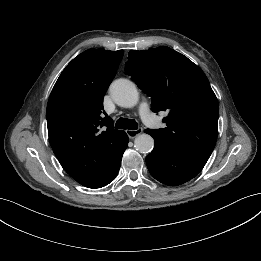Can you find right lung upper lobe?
Listing matches in <instances>:
<instances>
[{
	"mask_svg": "<svg viewBox=\"0 0 261 261\" xmlns=\"http://www.w3.org/2000/svg\"><path fill=\"white\" fill-rule=\"evenodd\" d=\"M123 53L89 49L79 54L62 71L48 101L50 145L65 171L84 186L111 167L127 138L103 111Z\"/></svg>",
	"mask_w": 261,
	"mask_h": 261,
	"instance_id": "1",
	"label": "right lung upper lobe"
}]
</instances>
